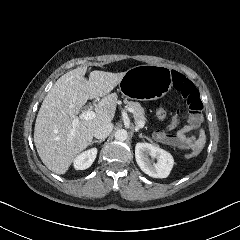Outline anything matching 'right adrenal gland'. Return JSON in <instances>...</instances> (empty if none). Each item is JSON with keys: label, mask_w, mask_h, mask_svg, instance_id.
Masks as SVG:
<instances>
[{"label": "right adrenal gland", "mask_w": 240, "mask_h": 240, "mask_svg": "<svg viewBox=\"0 0 240 240\" xmlns=\"http://www.w3.org/2000/svg\"><path fill=\"white\" fill-rule=\"evenodd\" d=\"M104 141V139H96V140H92L90 141V144L96 143V142H102Z\"/></svg>", "instance_id": "right-adrenal-gland-1"}]
</instances>
